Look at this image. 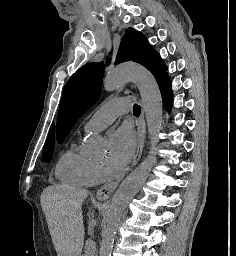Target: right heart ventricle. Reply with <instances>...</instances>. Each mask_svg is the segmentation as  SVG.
<instances>
[{"instance_id": "obj_1", "label": "right heart ventricle", "mask_w": 236, "mask_h": 256, "mask_svg": "<svg viewBox=\"0 0 236 256\" xmlns=\"http://www.w3.org/2000/svg\"><path fill=\"white\" fill-rule=\"evenodd\" d=\"M93 163L78 155L73 147L67 150L59 159L55 176L61 183L86 187Z\"/></svg>"}]
</instances>
